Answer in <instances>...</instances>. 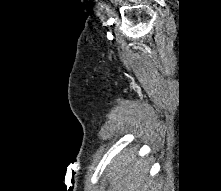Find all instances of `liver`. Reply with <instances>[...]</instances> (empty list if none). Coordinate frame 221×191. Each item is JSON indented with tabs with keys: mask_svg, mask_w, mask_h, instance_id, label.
Masks as SVG:
<instances>
[{
	"mask_svg": "<svg viewBox=\"0 0 221 191\" xmlns=\"http://www.w3.org/2000/svg\"><path fill=\"white\" fill-rule=\"evenodd\" d=\"M137 153L124 150L110 162L107 173L110 191H149L153 184L148 178L150 168Z\"/></svg>",
	"mask_w": 221,
	"mask_h": 191,
	"instance_id": "obj_1",
	"label": "liver"
}]
</instances>
